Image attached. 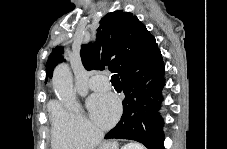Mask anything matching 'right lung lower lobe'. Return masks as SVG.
Returning <instances> with one entry per match:
<instances>
[{"label": "right lung lower lobe", "instance_id": "obj_1", "mask_svg": "<svg viewBox=\"0 0 227 149\" xmlns=\"http://www.w3.org/2000/svg\"><path fill=\"white\" fill-rule=\"evenodd\" d=\"M164 82L162 56L125 75L122 78L123 116L105 139H131L148 149H164L163 120L158 113Z\"/></svg>", "mask_w": 227, "mask_h": 149}]
</instances>
